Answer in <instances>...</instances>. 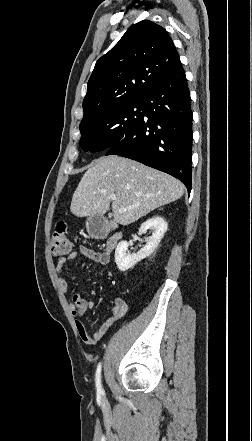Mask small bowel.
I'll use <instances>...</instances> for the list:
<instances>
[{
	"instance_id": "c3829d8e",
	"label": "small bowel",
	"mask_w": 252,
	"mask_h": 441,
	"mask_svg": "<svg viewBox=\"0 0 252 441\" xmlns=\"http://www.w3.org/2000/svg\"><path fill=\"white\" fill-rule=\"evenodd\" d=\"M79 254L101 265H107L110 260L107 254L96 252L83 245H80L78 247V252H71L66 257L61 258L56 264L55 270L58 274V283L63 293H66L68 288L67 282L61 275L63 268L68 261L75 260L79 256ZM90 293L91 295L95 296V291L90 290ZM94 306L95 301L93 299H86L78 293L72 296L71 310L73 316L76 318V328L81 338L88 343H95L100 340L110 329V327L116 321L121 319L127 311L126 302L122 298L116 297L114 299V306L110 310V315L102 322L96 332L89 333L81 318L84 316L85 312L88 309H92Z\"/></svg>"
}]
</instances>
